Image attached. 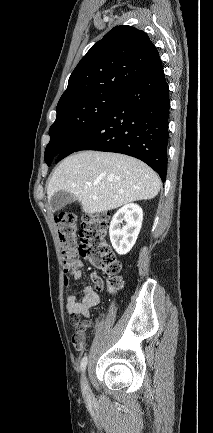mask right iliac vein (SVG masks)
I'll use <instances>...</instances> for the list:
<instances>
[{"instance_id": "obj_1", "label": "right iliac vein", "mask_w": 213, "mask_h": 433, "mask_svg": "<svg viewBox=\"0 0 213 433\" xmlns=\"http://www.w3.org/2000/svg\"><path fill=\"white\" fill-rule=\"evenodd\" d=\"M81 388H82V392L83 394L87 397L90 398L91 397V390L88 384V381L86 379L85 376H83L82 381H81Z\"/></svg>"}]
</instances>
